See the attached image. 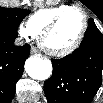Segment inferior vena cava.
<instances>
[{
    "label": "inferior vena cava",
    "instance_id": "1",
    "mask_svg": "<svg viewBox=\"0 0 103 103\" xmlns=\"http://www.w3.org/2000/svg\"><path fill=\"white\" fill-rule=\"evenodd\" d=\"M16 44H18V45L22 44V42L20 41V39H17Z\"/></svg>",
    "mask_w": 103,
    "mask_h": 103
}]
</instances>
